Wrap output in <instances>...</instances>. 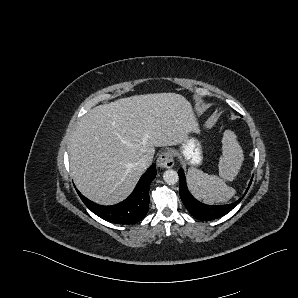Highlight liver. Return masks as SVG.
<instances>
[{"mask_svg":"<svg viewBox=\"0 0 298 298\" xmlns=\"http://www.w3.org/2000/svg\"><path fill=\"white\" fill-rule=\"evenodd\" d=\"M200 123L192 102L176 92L122 97L97 105L78 121L69 143L73 182L82 195L102 205L130 196L153 161L156 147L184 142Z\"/></svg>","mask_w":298,"mask_h":298,"instance_id":"1","label":"liver"}]
</instances>
